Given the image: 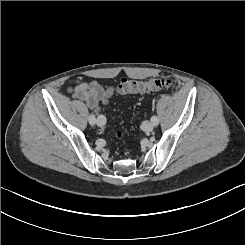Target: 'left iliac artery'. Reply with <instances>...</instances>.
Instances as JSON below:
<instances>
[{"label": "left iliac artery", "instance_id": "1", "mask_svg": "<svg viewBox=\"0 0 245 245\" xmlns=\"http://www.w3.org/2000/svg\"><path fill=\"white\" fill-rule=\"evenodd\" d=\"M151 122L154 124V125H157L158 124V122H159V120H158V118H157V116H152L151 117Z\"/></svg>", "mask_w": 245, "mask_h": 245}]
</instances>
